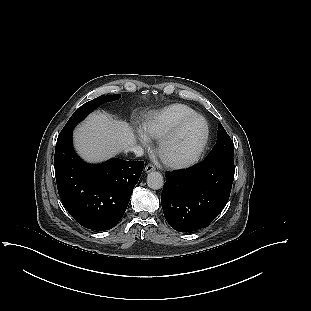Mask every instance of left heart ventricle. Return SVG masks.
<instances>
[{
  "mask_svg": "<svg viewBox=\"0 0 311 311\" xmlns=\"http://www.w3.org/2000/svg\"><path fill=\"white\" fill-rule=\"evenodd\" d=\"M203 135V123L194 120L166 148V154L172 158L190 156L198 147Z\"/></svg>",
  "mask_w": 311,
  "mask_h": 311,
  "instance_id": "obj_1",
  "label": "left heart ventricle"
}]
</instances>
